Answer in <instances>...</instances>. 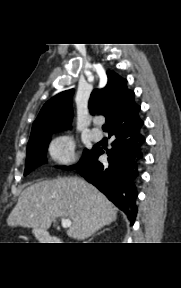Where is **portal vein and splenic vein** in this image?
<instances>
[{"instance_id":"1","label":"portal vein and splenic vein","mask_w":181,"mask_h":288,"mask_svg":"<svg viewBox=\"0 0 181 288\" xmlns=\"http://www.w3.org/2000/svg\"><path fill=\"white\" fill-rule=\"evenodd\" d=\"M61 223H62V227L63 228H68L72 225V222L70 219H67V218H62L61 219Z\"/></svg>"}]
</instances>
